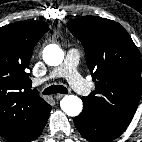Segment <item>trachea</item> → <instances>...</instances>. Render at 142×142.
<instances>
[{"instance_id":"1","label":"trachea","mask_w":142,"mask_h":142,"mask_svg":"<svg viewBox=\"0 0 142 142\" xmlns=\"http://www.w3.org/2000/svg\"><path fill=\"white\" fill-rule=\"evenodd\" d=\"M55 93L66 94L68 93V90L66 87L62 85H51L42 92V94H46V95L55 94Z\"/></svg>"}]
</instances>
